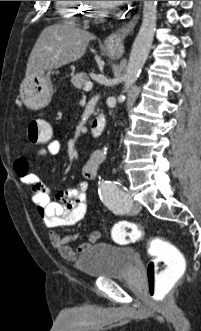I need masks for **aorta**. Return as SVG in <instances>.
<instances>
[{"mask_svg": "<svg viewBox=\"0 0 201 331\" xmlns=\"http://www.w3.org/2000/svg\"><path fill=\"white\" fill-rule=\"evenodd\" d=\"M157 1H143V20L134 40L124 74L125 90L138 79L148 58L156 29ZM120 97H124L120 95Z\"/></svg>", "mask_w": 201, "mask_h": 331, "instance_id": "aorta-1", "label": "aorta"}]
</instances>
